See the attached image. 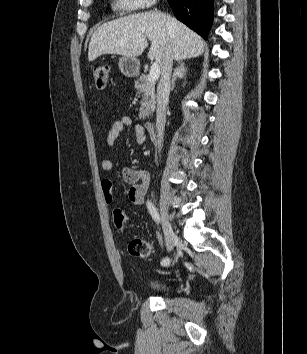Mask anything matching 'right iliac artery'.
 Wrapping results in <instances>:
<instances>
[{
    "label": "right iliac artery",
    "mask_w": 307,
    "mask_h": 354,
    "mask_svg": "<svg viewBox=\"0 0 307 354\" xmlns=\"http://www.w3.org/2000/svg\"><path fill=\"white\" fill-rule=\"evenodd\" d=\"M147 208L149 213L151 214L152 218L159 223L160 222V218H159V214L157 209L154 207V205L152 204L151 201H147ZM170 264V259L168 257L162 259L161 261V265L162 266H168Z\"/></svg>",
    "instance_id": "82829eb1"
}]
</instances>
